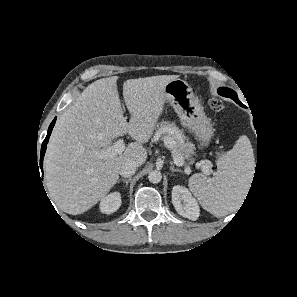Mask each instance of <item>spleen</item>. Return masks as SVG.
Masks as SVG:
<instances>
[{
    "label": "spleen",
    "mask_w": 297,
    "mask_h": 297,
    "mask_svg": "<svg viewBox=\"0 0 297 297\" xmlns=\"http://www.w3.org/2000/svg\"><path fill=\"white\" fill-rule=\"evenodd\" d=\"M216 165L213 178L194 174L189 178V187L205 210L221 217L235 211L248 190L255 165L249 139L241 136Z\"/></svg>",
    "instance_id": "spleen-1"
}]
</instances>
